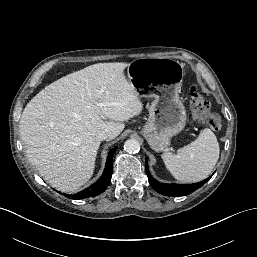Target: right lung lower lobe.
Wrapping results in <instances>:
<instances>
[{"instance_id": "right-lung-lower-lobe-1", "label": "right lung lower lobe", "mask_w": 257, "mask_h": 257, "mask_svg": "<svg viewBox=\"0 0 257 257\" xmlns=\"http://www.w3.org/2000/svg\"><path fill=\"white\" fill-rule=\"evenodd\" d=\"M116 150H117V148H113L112 150H110L108 157H107V162H106L104 172H103L101 178L96 183L92 184L88 188H86L74 195H65V196H67L70 199H84V198H88V197H92V196H97V195L101 194L103 191H105V189L107 188V186L111 180L112 171H113L112 158H113L114 152Z\"/></svg>"}]
</instances>
